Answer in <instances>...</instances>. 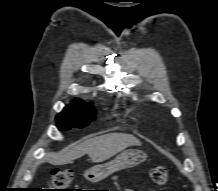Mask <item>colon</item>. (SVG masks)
Returning a JSON list of instances; mask_svg holds the SVG:
<instances>
[{"label":"colon","instance_id":"obj_1","mask_svg":"<svg viewBox=\"0 0 218 191\" xmlns=\"http://www.w3.org/2000/svg\"><path fill=\"white\" fill-rule=\"evenodd\" d=\"M151 181L156 185H164L168 180V171L165 167H155L150 170ZM73 180V172L68 169L56 170L52 174V191H72L67 189Z\"/></svg>","mask_w":218,"mask_h":191}]
</instances>
